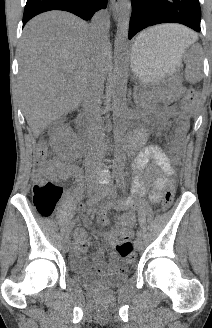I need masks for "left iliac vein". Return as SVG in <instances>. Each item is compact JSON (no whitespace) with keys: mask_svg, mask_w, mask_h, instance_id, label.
Returning <instances> with one entry per match:
<instances>
[{"mask_svg":"<svg viewBox=\"0 0 212 328\" xmlns=\"http://www.w3.org/2000/svg\"><path fill=\"white\" fill-rule=\"evenodd\" d=\"M99 192L103 196H107L109 198H113L115 195V190L114 187L110 184L103 185L102 187L99 188ZM134 247L136 250L140 251L142 249V240L141 238H136L134 241Z\"/></svg>","mask_w":212,"mask_h":328,"instance_id":"4c4485c4","label":"left iliac vein"}]
</instances>
